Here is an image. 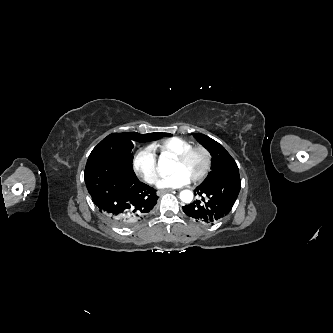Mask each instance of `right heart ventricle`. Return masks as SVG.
<instances>
[{"mask_svg":"<svg viewBox=\"0 0 333 333\" xmlns=\"http://www.w3.org/2000/svg\"><path fill=\"white\" fill-rule=\"evenodd\" d=\"M151 147L163 156L175 158L183 151L192 147V144L185 139L171 137L155 142L151 145Z\"/></svg>","mask_w":333,"mask_h":333,"instance_id":"e07e8e85","label":"right heart ventricle"}]
</instances>
